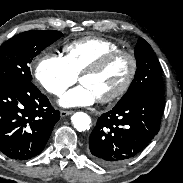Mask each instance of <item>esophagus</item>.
<instances>
[{
    "mask_svg": "<svg viewBox=\"0 0 183 183\" xmlns=\"http://www.w3.org/2000/svg\"><path fill=\"white\" fill-rule=\"evenodd\" d=\"M71 113H72V111L62 110V111L60 112V115H61V117H65V116L70 115Z\"/></svg>",
    "mask_w": 183,
    "mask_h": 183,
    "instance_id": "esophagus-1",
    "label": "esophagus"
}]
</instances>
